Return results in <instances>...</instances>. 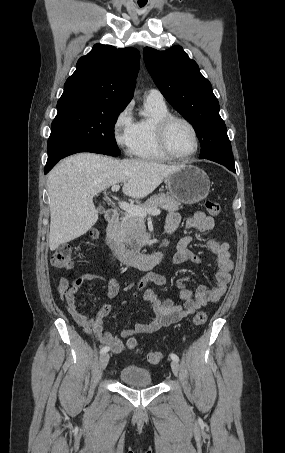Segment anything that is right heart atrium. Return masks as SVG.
I'll return each mask as SVG.
<instances>
[{
    "label": "right heart atrium",
    "mask_w": 285,
    "mask_h": 453,
    "mask_svg": "<svg viewBox=\"0 0 285 453\" xmlns=\"http://www.w3.org/2000/svg\"><path fill=\"white\" fill-rule=\"evenodd\" d=\"M134 119L130 105L124 107L116 116L112 131L116 144L126 153H130L133 138Z\"/></svg>",
    "instance_id": "right-heart-atrium-1"
}]
</instances>
